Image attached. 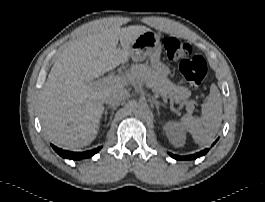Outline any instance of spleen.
<instances>
[{
	"mask_svg": "<svg viewBox=\"0 0 265 202\" xmlns=\"http://www.w3.org/2000/svg\"><path fill=\"white\" fill-rule=\"evenodd\" d=\"M221 122L222 98L218 88L212 85L208 101L202 105L201 117L184 115L180 120V125L192 135L195 143L205 146L213 140Z\"/></svg>",
	"mask_w": 265,
	"mask_h": 202,
	"instance_id": "spleen-1",
	"label": "spleen"
}]
</instances>
